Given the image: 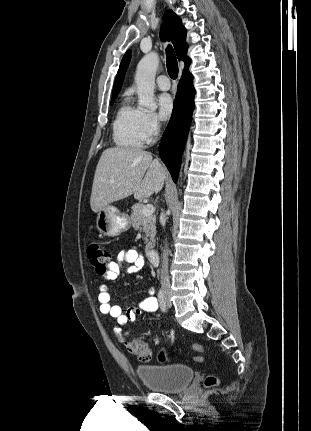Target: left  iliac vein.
<instances>
[{"label":"left iliac vein","instance_id":"4c4485c4","mask_svg":"<svg viewBox=\"0 0 311 431\" xmlns=\"http://www.w3.org/2000/svg\"><path fill=\"white\" fill-rule=\"evenodd\" d=\"M167 306L170 308L171 307V302L168 300V298H167Z\"/></svg>","mask_w":311,"mask_h":431}]
</instances>
